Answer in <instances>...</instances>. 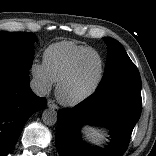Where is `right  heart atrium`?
Segmentation results:
<instances>
[{
	"instance_id": "1",
	"label": "right heart atrium",
	"mask_w": 156,
	"mask_h": 156,
	"mask_svg": "<svg viewBox=\"0 0 156 156\" xmlns=\"http://www.w3.org/2000/svg\"><path fill=\"white\" fill-rule=\"evenodd\" d=\"M30 72L39 91L47 93L51 90L53 81L43 63L33 62Z\"/></svg>"
}]
</instances>
